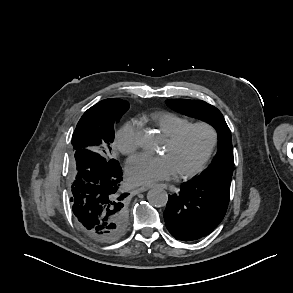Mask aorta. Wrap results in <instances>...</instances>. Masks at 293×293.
<instances>
[{"label": "aorta", "mask_w": 293, "mask_h": 293, "mask_svg": "<svg viewBox=\"0 0 293 293\" xmlns=\"http://www.w3.org/2000/svg\"><path fill=\"white\" fill-rule=\"evenodd\" d=\"M138 143L144 151H152L157 147V139L151 133H142L139 136ZM149 203L155 207H163L167 204L168 194L164 189L154 188L147 194Z\"/></svg>", "instance_id": "762f6f07"}]
</instances>
